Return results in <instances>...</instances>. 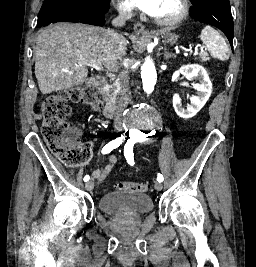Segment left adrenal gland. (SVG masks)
<instances>
[{
	"instance_id": "left-adrenal-gland-1",
	"label": "left adrenal gland",
	"mask_w": 256,
	"mask_h": 267,
	"mask_svg": "<svg viewBox=\"0 0 256 267\" xmlns=\"http://www.w3.org/2000/svg\"><path fill=\"white\" fill-rule=\"evenodd\" d=\"M165 52H164V56L165 58H173V56H175V54H172V52H166V48H164Z\"/></svg>"
}]
</instances>
